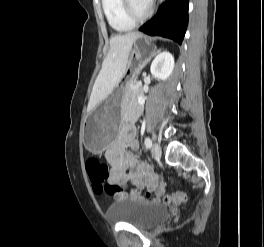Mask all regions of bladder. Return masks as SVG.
<instances>
[{
	"instance_id": "31cf9c89",
	"label": "bladder",
	"mask_w": 264,
	"mask_h": 247,
	"mask_svg": "<svg viewBox=\"0 0 264 247\" xmlns=\"http://www.w3.org/2000/svg\"><path fill=\"white\" fill-rule=\"evenodd\" d=\"M168 217V211L162 205L135 198L117 199L107 211L109 221L131 224L140 229H150Z\"/></svg>"
}]
</instances>
